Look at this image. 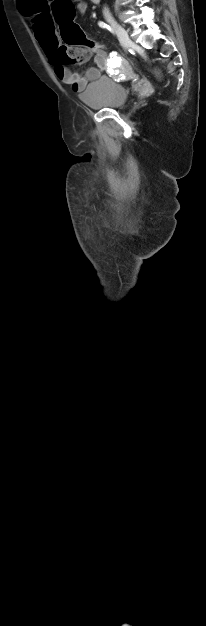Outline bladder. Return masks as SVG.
Returning <instances> with one entry per match:
<instances>
[{"label":"bladder","instance_id":"bladder-1","mask_svg":"<svg viewBox=\"0 0 206 626\" xmlns=\"http://www.w3.org/2000/svg\"><path fill=\"white\" fill-rule=\"evenodd\" d=\"M128 98L126 88L112 78L101 76L89 83L80 94L81 101L95 109L122 107Z\"/></svg>","mask_w":206,"mask_h":626}]
</instances>
